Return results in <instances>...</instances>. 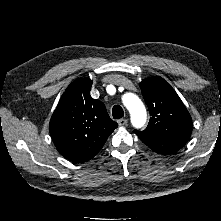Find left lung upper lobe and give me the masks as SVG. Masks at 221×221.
<instances>
[{"mask_svg": "<svg viewBox=\"0 0 221 221\" xmlns=\"http://www.w3.org/2000/svg\"><path fill=\"white\" fill-rule=\"evenodd\" d=\"M140 88L151 116L147 128L141 132L167 139L188 140L192 120L175 90L161 77L144 79Z\"/></svg>", "mask_w": 221, "mask_h": 221, "instance_id": "5c2ea615", "label": "left lung upper lobe"}]
</instances>
